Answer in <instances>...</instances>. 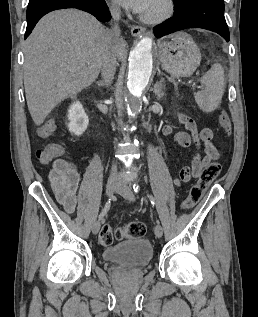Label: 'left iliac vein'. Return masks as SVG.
<instances>
[{
  "label": "left iliac vein",
  "mask_w": 258,
  "mask_h": 317,
  "mask_svg": "<svg viewBox=\"0 0 258 317\" xmlns=\"http://www.w3.org/2000/svg\"><path fill=\"white\" fill-rule=\"evenodd\" d=\"M121 184H119L117 186V194L118 195H123L124 198H129V201H136V196H135V193H133V191L130 189V184L126 183V182H123V180L121 179ZM154 234L156 236H159L158 238L160 239L161 235L163 234V228L161 226V224H156L155 228H154Z\"/></svg>",
  "instance_id": "1"
}]
</instances>
